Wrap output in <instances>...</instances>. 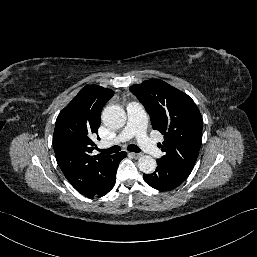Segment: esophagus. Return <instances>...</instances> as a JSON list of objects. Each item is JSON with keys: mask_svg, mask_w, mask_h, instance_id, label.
Instances as JSON below:
<instances>
[{"mask_svg": "<svg viewBox=\"0 0 257 257\" xmlns=\"http://www.w3.org/2000/svg\"><path fill=\"white\" fill-rule=\"evenodd\" d=\"M134 158H139V157H141L142 156V154L141 153H130Z\"/></svg>", "mask_w": 257, "mask_h": 257, "instance_id": "esophagus-1", "label": "esophagus"}]
</instances>
